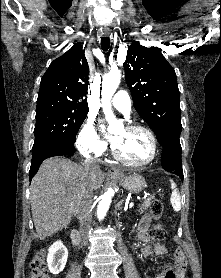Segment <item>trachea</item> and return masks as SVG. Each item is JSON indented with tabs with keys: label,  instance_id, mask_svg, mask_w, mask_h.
<instances>
[{
	"label": "trachea",
	"instance_id": "1",
	"mask_svg": "<svg viewBox=\"0 0 221 278\" xmlns=\"http://www.w3.org/2000/svg\"><path fill=\"white\" fill-rule=\"evenodd\" d=\"M101 47L103 49V51H107L110 47V39L109 37H103L101 39Z\"/></svg>",
	"mask_w": 221,
	"mask_h": 278
}]
</instances>
